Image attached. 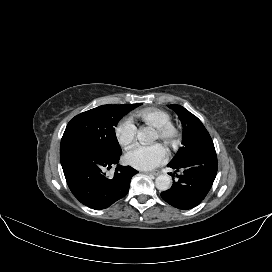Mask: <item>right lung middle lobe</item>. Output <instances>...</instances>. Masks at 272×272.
I'll list each match as a JSON object with an SVG mask.
<instances>
[{"label":"right lung middle lobe","instance_id":"obj_1","mask_svg":"<svg viewBox=\"0 0 272 272\" xmlns=\"http://www.w3.org/2000/svg\"><path fill=\"white\" fill-rule=\"evenodd\" d=\"M141 104L102 105L75 116L67 125L61 143L84 142L108 154L122 153L115 126L129 111Z\"/></svg>","mask_w":272,"mask_h":272}]
</instances>
